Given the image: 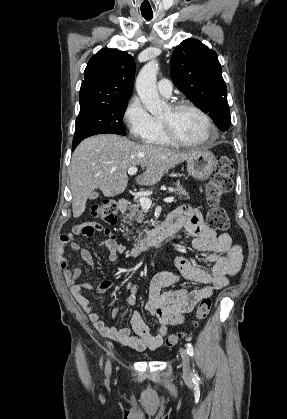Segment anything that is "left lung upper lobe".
Instances as JSON below:
<instances>
[{
    "label": "left lung upper lobe",
    "mask_w": 287,
    "mask_h": 419,
    "mask_svg": "<svg viewBox=\"0 0 287 419\" xmlns=\"http://www.w3.org/2000/svg\"><path fill=\"white\" fill-rule=\"evenodd\" d=\"M171 78L196 107L208 113L217 127L227 131L230 109L227 88L215 51L199 40L186 39L173 51Z\"/></svg>",
    "instance_id": "left-lung-upper-lobe-1"
}]
</instances>
